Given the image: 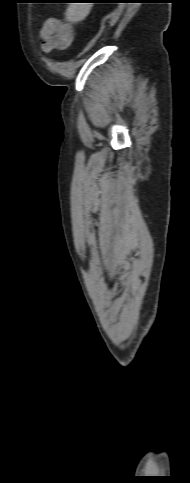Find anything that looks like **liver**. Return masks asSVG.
<instances>
[{"instance_id":"1","label":"liver","mask_w":190,"mask_h":483,"mask_svg":"<svg viewBox=\"0 0 190 483\" xmlns=\"http://www.w3.org/2000/svg\"><path fill=\"white\" fill-rule=\"evenodd\" d=\"M92 8V3H70L65 12V18L70 23L83 21Z\"/></svg>"}]
</instances>
